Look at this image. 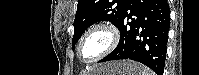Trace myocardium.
<instances>
[{"instance_id": "1", "label": "myocardium", "mask_w": 199, "mask_h": 75, "mask_svg": "<svg viewBox=\"0 0 199 75\" xmlns=\"http://www.w3.org/2000/svg\"><path fill=\"white\" fill-rule=\"evenodd\" d=\"M93 33H101L104 34L107 37V44L103 51H101L96 57L92 58L89 61H84L81 57V46L85 39L89 37ZM120 41V34L118 28L109 21H100L93 25H91L81 36V38L78 41L77 48H76V54L77 58L85 63V64H93L104 57H106L108 54L113 52L116 47L118 46Z\"/></svg>"}]
</instances>
